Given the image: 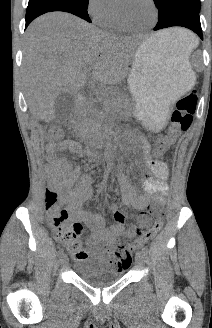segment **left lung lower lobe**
<instances>
[{"instance_id":"0a47b994","label":"left lung lower lobe","mask_w":212,"mask_h":328,"mask_svg":"<svg viewBox=\"0 0 212 328\" xmlns=\"http://www.w3.org/2000/svg\"><path fill=\"white\" fill-rule=\"evenodd\" d=\"M172 26L186 27L203 39L199 12L184 3L170 5L162 16H158L154 30Z\"/></svg>"}]
</instances>
